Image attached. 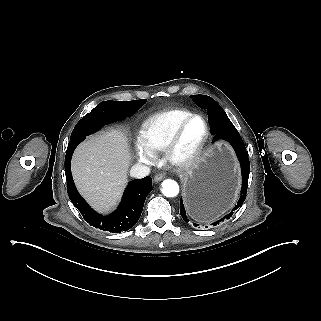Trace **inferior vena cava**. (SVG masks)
<instances>
[{
    "instance_id": "1",
    "label": "inferior vena cava",
    "mask_w": 321,
    "mask_h": 321,
    "mask_svg": "<svg viewBox=\"0 0 321 321\" xmlns=\"http://www.w3.org/2000/svg\"><path fill=\"white\" fill-rule=\"evenodd\" d=\"M151 170L149 167L135 164L131 167L130 174L135 178H143L150 174Z\"/></svg>"
}]
</instances>
